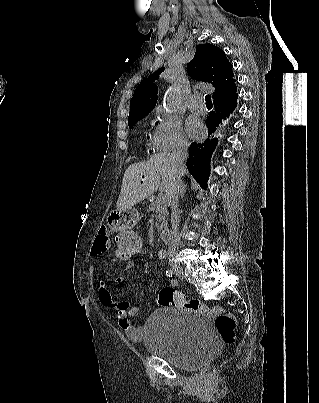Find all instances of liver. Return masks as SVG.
<instances>
[{"label": "liver", "mask_w": 319, "mask_h": 403, "mask_svg": "<svg viewBox=\"0 0 319 403\" xmlns=\"http://www.w3.org/2000/svg\"><path fill=\"white\" fill-rule=\"evenodd\" d=\"M177 172L172 154L166 152L154 154L146 162L131 164L124 173L117 210L131 208L157 189L169 196ZM179 173L186 174L184 166Z\"/></svg>", "instance_id": "obj_1"}]
</instances>
